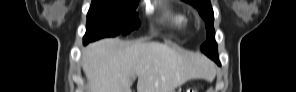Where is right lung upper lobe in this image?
<instances>
[{
  "instance_id": "cb5924a9",
  "label": "right lung upper lobe",
  "mask_w": 296,
  "mask_h": 92,
  "mask_svg": "<svg viewBox=\"0 0 296 92\" xmlns=\"http://www.w3.org/2000/svg\"><path fill=\"white\" fill-rule=\"evenodd\" d=\"M129 1H137L138 2V0H129Z\"/></svg>"
}]
</instances>
